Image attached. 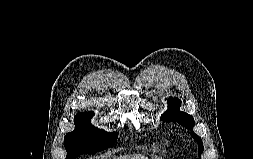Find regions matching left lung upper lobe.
Listing matches in <instances>:
<instances>
[{
    "label": "left lung upper lobe",
    "mask_w": 253,
    "mask_h": 159,
    "mask_svg": "<svg viewBox=\"0 0 253 159\" xmlns=\"http://www.w3.org/2000/svg\"><path fill=\"white\" fill-rule=\"evenodd\" d=\"M168 101L169 109L161 116V119L177 122L183 127H186L187 129L191 130L194 126V119L191 115L180 111L181 101L177 98H170ZM191 135L198 143V154L201 155L203 151L202 140L193 131H191Z\"/></svg>",
    "instance_id": "left-lung-upper-lobe-1"
}]
</instances>
